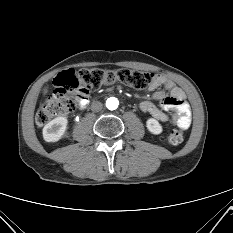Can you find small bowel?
<instances>
[{
	"label": "small bowel",
	"instance_id": "obj_1",
	"mask_svg": "<svg viewBox=\"0 0 233 233\" xmlns=\"http://www.w3.org/2000/svg\"><path fill=\"white\" fill-rule=\"evenodd\" d=\"M162 88V90H159ZM152 92V98L159 102V107L152 101L145 100L141 102L140 109L150 114L155 119L162 122H170L180 129H188L192 121V112L190 105L186 100L185 92L176 86L167 77L157 74L152 83L147 88ZM88 105V100L80 102L79 108L84 109ZM172 111L171 115L167 114Z\"/></svg>",
	"mask_w": 233,
	"mask_h": 233
}]
</instances>
